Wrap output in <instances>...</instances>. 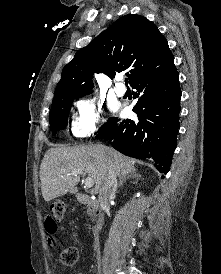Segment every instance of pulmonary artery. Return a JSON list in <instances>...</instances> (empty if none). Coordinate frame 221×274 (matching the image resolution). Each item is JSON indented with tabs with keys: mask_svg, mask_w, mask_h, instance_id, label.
I'll use <instances>...</instances> for the list:
<instances>
[{
	"mask_svg": "<svg viewBox=\"0 0 221 274\" xmlns=\"http://www.w3.org/2000/svg\"><path fill=\"white\" fill-rule=\"evenodd\" d=\"M115 92L118 96H123L126 93V88L121 83V79H118V82L115 85Z\"/></svg>",
	"mask_w": 221,
	"mask_h": 274,
	"instance_id": "e3ab8cb5",
	"label": "pulmonary artery"
}]
</instances>
